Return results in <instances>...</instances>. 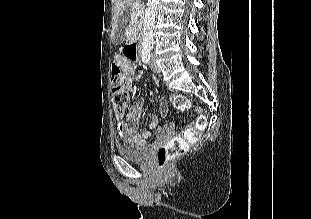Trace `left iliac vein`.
<instances>
[{
    "mask_svg": "<svg viewBox=\"0 0 311 219\" xmlns=\"http://www.w3.org/2000/svg\"><path fill=\"white\" fill-rule=\"evenodd\" d=\"M150 67L153 70V72H155V73H160L161 72L159 66L156 63V60H155L154 56H152L151 59H150Z\"/></svg>",
    "mask_w": 311,
    "mask_h": 219,
    "instance_id": "4c4485c4",
    "label": "left iliac vein"
}]
</instances>
